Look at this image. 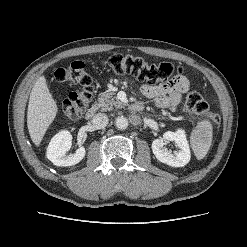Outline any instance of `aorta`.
I'll return each instance as SVG.
<instances>
[{"mask_svg": "<svg viewBox=\"0 0 247 247\" xmlns=\"http://www.w3.org/2000/svg\"><path fill=\"white\" fill-rule=\"evenodd\" d=\"M115 124L119 130H125L128 127V119L123 116L117 117Z\"/></svg>", "mask_w": 247, "mask_h": 247, "instance_id": "obj_1", "label": "aorta"}]
</instances>
